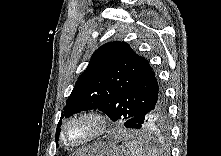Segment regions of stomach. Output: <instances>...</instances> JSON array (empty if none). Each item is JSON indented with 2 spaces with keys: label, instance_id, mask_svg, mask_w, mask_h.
<instances>
[{
  "label": "stomach",
  "instance_id": "0dacf381",
  "mask_svg": "<svg viewBox=\"0 0 221 156\" xmlns=\"http://www.w3.org/2000/svg\"><path fill=\"white\" fill-rule=\"evenodd\" d=\"M95 151H89L91 156H128L127 150L124 146L108 145V146H94Z\"/></svg>",
  "mask_w": 221,
  "mask_h": 156
}]
</instances>
